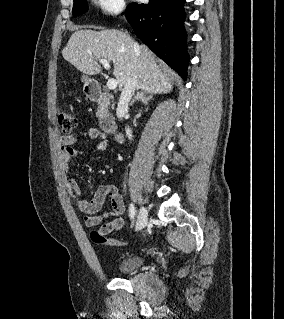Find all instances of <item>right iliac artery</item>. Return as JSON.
I'll list each match as a JSON object with an SVG mask.
<instances>
[{
  "label": "right iliac artery",
  "mask_w": 284,
  "mask_h": 319,
  "mask_svg": "<svg viewBox=\"0 0 284 319\" xmlns=\"http://www.w3.org/2000/svg\"><path fill=\"white\" fill-rule=\"evenodd\" d=\"M129 212H130V218L133 219L135 214H136V210L133 204H130L129 206Z\"/></svg>",
  "instance_id": "1"
}]
</instances>
